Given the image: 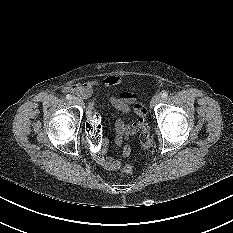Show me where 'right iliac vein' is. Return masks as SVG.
<instances>
[{"mask_svg":"<svg viewBox=\"0 0 233 233\" xmlns=\"http://www.w3.org/2000/svg\"><path fill=\"white\" fill-rule=\"evenodd\" d=\"M73 102L78 105H82L83 101L79 97H74Z\"/></svg>","mask_w":233,"mask_h":233,"instance_id":"1","label":"right iliac vein"}]
</instances>
